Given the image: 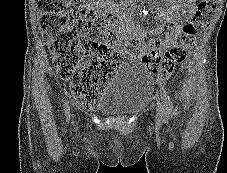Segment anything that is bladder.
Instances as JSON below:
<instances>
[{
	"instance_id": "obj_1",
	"label": "bladder",
	"mask_w": 227,
	"mask_h": 173,
	"mask_svg": "<svg viewBox=\"0 0 227 173\" xmlns=\"http://www.w3.org/2000/svg\"><path fill=\"white\" fill-rule=\"evenodd\" d=\"M152 89L148 70L136 60L126 61L108 83L96 108L107 114H128L139 110Z\"/></svg>"
}]
</instances>
